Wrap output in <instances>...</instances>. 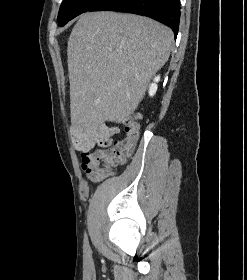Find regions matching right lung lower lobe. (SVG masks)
<instances>
[{"label":"right lung lower lobe","mask_w":247,"mask_h":280,"mask_svg":"<svg viewBox=\"0 0 247 280\" xmlns=\"http://www.w3.org/2000/svg\"><path fill=\"white\" fill-rule=\"evenodd\" d=\"M92 10L128 12L144 15L169 26L176 38L180 21L179 0H100Z\"/></svg>","instance_id":"right-lung-lower-lobe-1"}]
</instances>
